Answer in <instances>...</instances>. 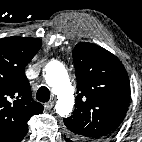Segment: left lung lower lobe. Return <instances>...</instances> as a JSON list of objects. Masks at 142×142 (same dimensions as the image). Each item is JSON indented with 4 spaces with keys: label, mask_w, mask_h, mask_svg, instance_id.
I'll list each match as a JSON object with an SVG mask.
<instances>
[{
    "label": "left lung lower lobe",
    "mask_w": 142,
    "mask_h": 142,
    "mask_svg": "<svg viewBox=\"0 0 142 142\" xmlns=\"http://www.w3.org/2000/svg\"><path fill=\"white\" fill-rule=\"evenodd\" d=\"M65 140H66V142H72V141L70 140V138H69V137H66V136H65Z\"/></svg>",
    "instance_id": "0a47b994"
}]
</instances>
